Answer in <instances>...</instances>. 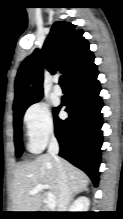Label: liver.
Masks as SVG:
<instances>
[{
	"label": "liver",
	"mask_w": 123,
	"mask_h": 219,
	"mask_svg": "<svg viewBox=\"0 0 123 219\" xmlns=\"http://www.w3.org/2000/svg\"><path fill=\"white\" fill-rule=\"evenodd\" d=\"M66 172L68 185L72 193L87 188L89 177L68 161L60 159ZM38 184L48 185L56 203L59 198V173L56 160L50 154H42L32 162L20 165L14 174L13 210L14 212H38L42 206L44 193L29 194Z\"/></svg>",
	"instance_id": "1"
}]
</instances>
